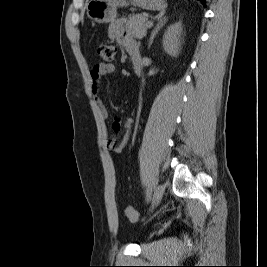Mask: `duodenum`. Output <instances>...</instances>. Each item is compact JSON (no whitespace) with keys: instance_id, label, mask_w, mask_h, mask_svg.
Segmentation results:
<instances>
[{"instance_id":"obj_1","label":"duodenum","mask_w":267,"mask_h":267,"mask_svg":"<svg viewBox=\"0 0 267 267\" xmlns=\"http://www.w3.org/2000/svg\"><path fill=\"white\" fill-rule=\"evenodd\" d=\"M133 69L134 72L138 75L141 72V62L139 58H134L133 59Z\"/></svg>"}]
</instances>
